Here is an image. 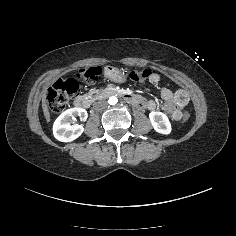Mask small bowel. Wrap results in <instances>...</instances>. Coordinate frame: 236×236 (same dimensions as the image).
I'll return each mask as SVG.
<instances>
[{"mask_svg": "<svg viewBox=\"0 0 236 236\" xmlns=\"http://www.w3.org/2000/svg\"><path fill=\"white\" fill-rule=\"evenodd\" d=\"M158 81H159V76L155 74L153 76L152 82L157 83ZM163 94H164L165 97H168L169 96V91L165 90ZM187 102H188V96L185 92L179 91V92L176 93V112H175V114H173V118L175 120L180 119V117H181V108L184 107L187 104Z\"/></svg>", "mask_w": 236, "mask_h": 236, "instance_id": "1", "label": "small bowel"}]
</instances>
